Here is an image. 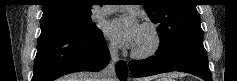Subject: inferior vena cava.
<instances>
[{"label":"inferior vena cava","instance_id":"obj_1","mask_svg":"<svg viewBox=\"0 0 237 81\" xmlns=\"http://www.w3.org/2000/svg\"><path fill=\"white\" fill-rule=\"evenodd\" d=\"M110 61L108 65L100 72V81H116L115 65L119 60L118 51L110 47Z\"/></svg>","mask_w":237,"mask_h":81}]
</instances>
